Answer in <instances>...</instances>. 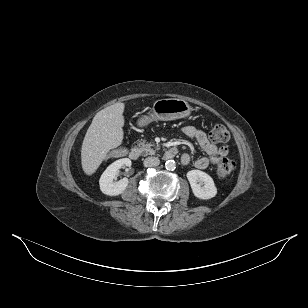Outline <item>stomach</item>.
<instances>
[{"instance_id":"1","label":"stomach","mask_w":308,"mask_h":308,"mask_svg":"<svg viewBox=\"0 0 308 308\" xmlns=\"http://www.w3.org/2000/svg\"><path fill=\"white\" fill-rule=\"evenodd\" d=\"M192 111L188 102L179 98H165L155 101L148 115L140 118L139 124L148 125L153 121H170L185 118Z\"/></svg>"}]
</instances>
